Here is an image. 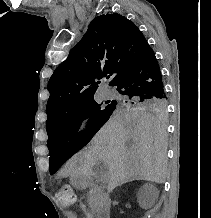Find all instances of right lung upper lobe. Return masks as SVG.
Instances as JSON below:
<instances>
[{
	"label": "right lung upper lobe",
	"mask_w": 211,
	"mask_h": 218,
	"mask_svg": "<svg viewBox=\"0 0 211 218\" xmlns=\"http://www.w3.org/2000/svg\"><path fill=\"white\" fill-rule=\"evenodd\" d=\"M150 50L141 31L124 16L114 13L96 17L49 80L47 131L65 114L94 100L97 80L109 74L112 85Z\"/></svg>",
	"instance_id": "cb5924a9"
}]
</instances>
